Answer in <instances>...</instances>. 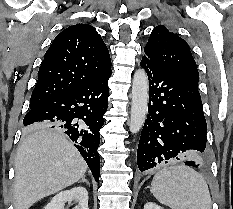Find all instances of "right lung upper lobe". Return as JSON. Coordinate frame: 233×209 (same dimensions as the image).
Wrapping results in <instances>:
<instances>
[{"label": "right lung upper lobe", "mask_w": 233, "mask_h": 209, "mask_svg": "<svg viewBox=\"0 0 233 209\" xmlns=\"http://www.w3.org/2000/svg\"><path fill=\"white\" fill-rule=\"evenodd\" d=\"M110 71L109 51L96 29L83 23L69 26L55 37L45 53L30 104H42Z\"/></svg>", "instance_id": "1"}]
</instances>
